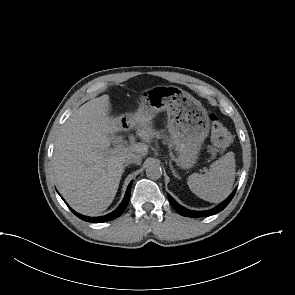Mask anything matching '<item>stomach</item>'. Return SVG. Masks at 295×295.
I'll use <instances>...</instances> for the list:
<instances>
[{"label": "stomach", "instance_id": "0dacf381", "mask_svg": "<svg viewBox=\"0 0 295 295\" xmlns=\"http://www.w3.org/2000/svg\"><path fill=\"white\" fill-rule=\"evenodd\" d=\"M167 111L168 130L177 151V163L191 168L198 159L201 146L209 133V118L201 102L176 86H157L139 99V108L126 116L127 123L136 117L154 118Z\"/></svg>", "mask_w": 295, "mask_h": 295}]
</instances>
